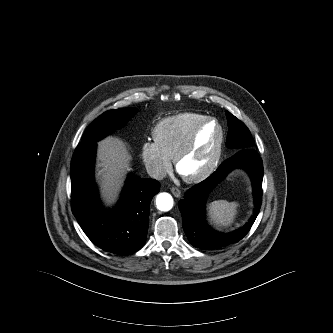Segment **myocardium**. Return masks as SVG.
Segmentation results:
<instances>
[{
	"label": "myocardium",
	"instance_id": "myocardium-1",
	"mask_svg": "<svg viewBox=\"0 0 333 333\" xmlns=\"http://www.w3.org/2000/svg\"><path fill=\"white\" fill-rule=\"evenodd\" d=\"M208 124H215L219 130V139H218L215 154H214L211 162L208 164V166L205 169H203L201 172L191 175V176L183 175L180 171V163L188 155V153L192 150L200 131ZM224 142H225V131H224V127L222 126V124L215 118L207 117L205 120L200 122L192 130V132L190 133L189 137L187 138V140L185 141L183 146L177 151V153L174 157V164H175L176 171L188 183H199V182L207 179L209 176H211L214 173V171L217 169V167L220 163L222 153H223Z\"/></svg>",
	"mask_w": 333,
	"mask_h": 333
}]
</instances>
